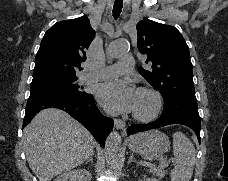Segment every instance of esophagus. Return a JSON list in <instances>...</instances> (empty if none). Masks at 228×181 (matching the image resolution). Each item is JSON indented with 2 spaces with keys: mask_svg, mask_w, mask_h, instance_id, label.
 <instances>
[{
  "mask_svg": "<svg viewBox=\"0 0 228 181\" xmlns=\"http://www.w3.org/2000/svg\"><path fill=\"white\" fill-rule=\"evenodd\" d=\"M114 125H115V128H117L118 130H121L122 134H125L126 124L124 121H122V119H115Z\"/></svg>",
  "mask_w": 228,
  "mask_h": 181,
  "instance_id": "1",
  "label": "esophagus"
}]
</instances>
